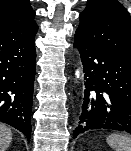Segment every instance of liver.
Masks as SVG:
<instances>
[{
	"mask_svg": "<svg viewBox=\"0 0 131 151\" xmlns=\"http://www.w3.org/2000/svg\"><path fill=\"white\" fill-rule=\"evenodd\" d=\"M12 141V132L0 123V151H6Z\"/></svg>",
	"mask_w": 131,
	"mask_h": 151,
	"instance_id": "1",
	"label": "liver"
}]
</instances>
